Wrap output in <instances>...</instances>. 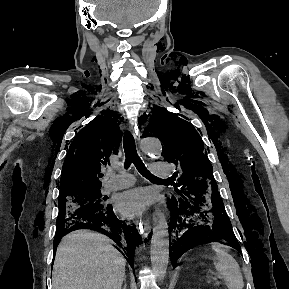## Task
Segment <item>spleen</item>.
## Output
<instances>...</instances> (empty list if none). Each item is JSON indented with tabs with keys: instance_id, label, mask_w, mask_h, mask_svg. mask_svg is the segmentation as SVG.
<instances>
[{
	"instance_id": "obj_1",
	"label": "spleen",
	"mask_w": 289,
	"mask_h": 289,
	"mask_svg": "<svg viewBox=\"0 0 289 289\" xmlns=\"http://www.w3.org/2000/svg\"><path fill=\"white\" fill-rule=\"evenodd\" d=\"M216 253L214 267L217 275L222 278L228 289H243V276L237 261L226 251L225 247L217 242L211 244Z\"/></svg>"
}]
</instances>
